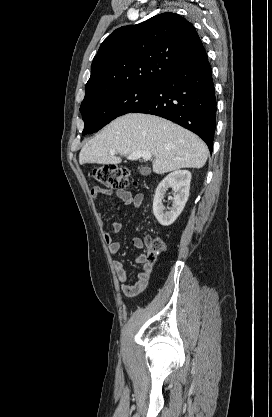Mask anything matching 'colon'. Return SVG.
I'll list each match as a JSON object with an SVG mask.
<instances>
[{
    "label": "colon",
    "mask_w": 272,
    "mask_h": 417,
    "mask_svg": "<svg viewBox=\"0 0 272 417\" xmlns=\"http://www.w3.org/2000/svg\"><path fill=\"white\" fill-rule=\"evenodd\" d=\"M93 178L109 188L126 187L129 184V173L115 164H104L93 170ZM166 243L163 239L155 238L148 243L145 255L146 261L152 263L156 256L164 252Z\"/></svg>",
    "instance_id": "5ec220e1"
}]
</instances>
